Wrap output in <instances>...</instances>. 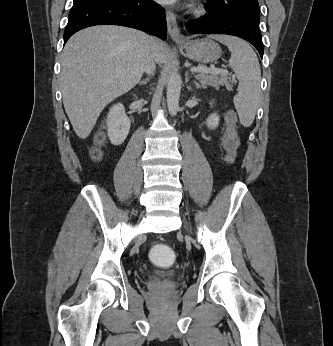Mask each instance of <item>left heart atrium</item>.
Wrapping results in <instances>:
<instances>
[{"mask_svg":"<svg viewBox=\"0 0 333 346\" xmlns=\"http://www.w3.org/2000/svg\"><path fill=\"white\" fill-rule=\"evenodd\" d=\"M159 2H162V3H173L175 2L176 0H158Z\"/></svg>","mask_w":333,"mask_h":346,"instance_id":"1","label":"left heart atrium"}]
</instances>
